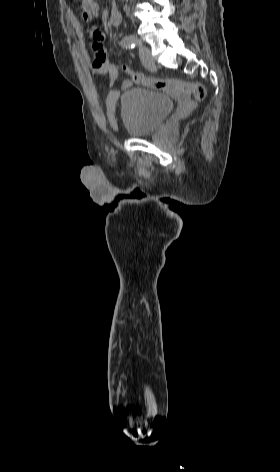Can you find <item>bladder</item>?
<instances>
[{"instance_id": "1", "label": "bladder", "mask_w": 280, "mask_h": 472, "mask_svg": "<svg viewBox=\"0 0 280 472\" xmlns=\"http://www.w3.org/2000/svg\"><path fill=\"white\" fill-rule=\"evenodd\" d=\"M174 101L167 95L132 87L123 92L119 108L126 133L131 138L156 132L174 109Z\"/></svg>"}]
</instances>
